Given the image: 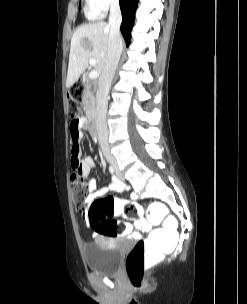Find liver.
Segmentation results:
<instances>
[{"instance_id": "obj_1", "label": "liver", "mask_w": 247, "mask_h": 304, "mask_svg": "<svg viewBox=\"0 0 247 304\" xmlns=\"http://www.w3.org/2000/svg\"><path fill=\"white\" fill-rule=\"evenodd\" d=\"M110 26L103 21L83 24L73 33L69 54L66 86L70 88L94 58L95 70L102 74L109 42Z\"/></svg>"}]
</instances>
